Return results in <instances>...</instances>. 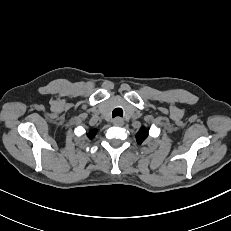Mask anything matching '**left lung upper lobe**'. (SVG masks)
I'll return each mask as SVG.
<instances>
[{
    "instance_id": "obj_1",
    "label": "left lung upper lobe",
    "mask_w": 231,
    "mask_h": 231,
    "mask_svg": "<svg viewBox=\"0 0 231 231\" xmlns=\"http://www.w3.org/2000/svg\"><path fill=\"white\" fill-rule=\"evenodd\" d=\"M148 136V131L146 128H141V130L136 135V140L139 144H141Z\"/></svg>"
}]
</instances>
